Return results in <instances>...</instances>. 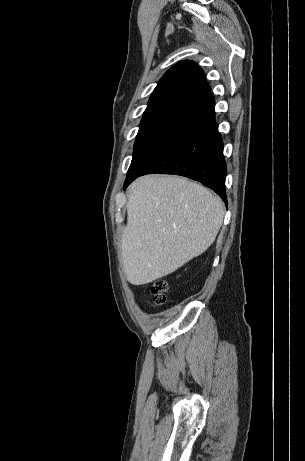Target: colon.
<instances>
[{"label":"colon","instance_id":"obj_1","mask_svg":"<svg viewBox=\"0 0 305 461\" xmlns=\"http://www.w3.org/2000/svg\"><path fill=\"white\" fill-rule=\"evenodd\" d=\"M150 293L153 297V302L157 306H161L166 303L167 297L166 292L168 289L167 282L163 279H155L149 284Z\"/></svg>","mask_w":305,"mask_h":461}]
</instances>
